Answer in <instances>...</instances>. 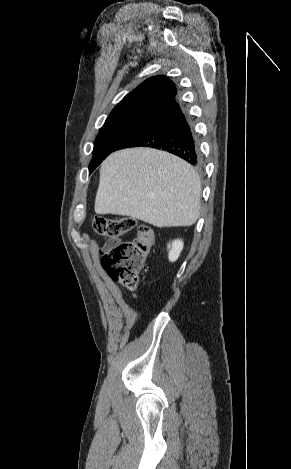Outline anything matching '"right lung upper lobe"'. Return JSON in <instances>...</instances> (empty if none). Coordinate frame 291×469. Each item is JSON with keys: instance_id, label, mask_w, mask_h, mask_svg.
<instances>
[{"instance_id": "obj_1", "label": "right lung upper lobe", "mask_w": 291, "mask_h": 469, "mask_svg": "<svg viewBox=\"0 0 291 469\" xmlns=\"http://www.w3.org/2000/svg\"><path fill=\"white\" fill-rule=\"evenodd\" d=\"M176 95V87L169 78L154 76L127 94L111 114L136 111L154 115L174 102Z\"/></svg>"}]
</instances>
